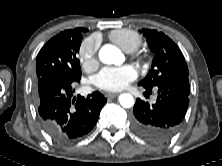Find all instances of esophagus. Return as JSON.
I'll use <instances>...</instances> for the list:
<instances>
[{"label": "esophagus", "instance_id": "esophagus-1", "mask_svg": "<svg viewBox=\"0 0 222 166\" xmlns=\"http://www.w3.org/2000/svg\"><path fill=\"white\" fill-rule=\"evenodd\" d=\"M119 95V93H108V94H106V97H108V98H114V97H116V96H118Z\"/></svg>", "mask_w": 222, "mask_h": 166}]
</instances>
